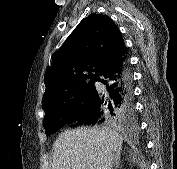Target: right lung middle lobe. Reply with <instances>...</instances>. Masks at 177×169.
I'll use <instances>...</instances> for the list:
<instances>
[{"label":"right lung middle lobe","instance_id":"1","mask_svg":"<svg viewBox=\"0 0 177 169\" xmlns=\"http://www.w3.org/2000/svg\"><path fill=\"white\" fill-rule=\"evenodd\" d=\"M96 93L94 82H90L74 89L60 101L43 107L46 113L44 128L47 135L74 121L86 112L91 107Z\"/></svg>","mask_w":177,"mask_h":169}]
</instances>
